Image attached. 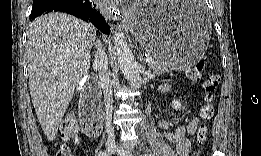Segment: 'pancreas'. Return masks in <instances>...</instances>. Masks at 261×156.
Instances as JSON below:
<instances>
[{
	"mask_svg": "<svg viewBox=\"0 0 261 156\" xmlns=\"http://www.w3.org/2000/svg\"><path fill=\"white\" fill-rule=\"evenodd\" d=\"M155 59L149 63V68L156 74H162L169 69V64L162 61L159 57H154Z\"/></svg>",
	"mask_w": 261,
	"mask_h": 156,
	"instance_id": "cf45deb5",
	"label": "pancreas"
}]
</instances>
